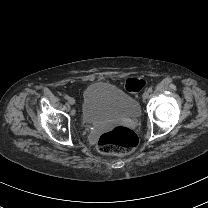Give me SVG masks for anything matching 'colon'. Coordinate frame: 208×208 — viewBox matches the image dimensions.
<instances>
[{
    "instance_id": "5ec220e1",
    "label": "colon",
    "mask_w": 208,
    "mask_h": 208,
    "mask_svg": "<svg viewBox=\"0 0 208 208\" xmlns=\"http://www.w3.org/2000/svg\"><path fill=\"white\" fill-rule=\"evenodd\" d=\"M146 86L143 79L129 78L124 82L127 92H139ZM140 137L137 132L126 127H115L104 133L98 140V148L103 154H127L137 147Z\"/></svg>"
}]
</instances>
